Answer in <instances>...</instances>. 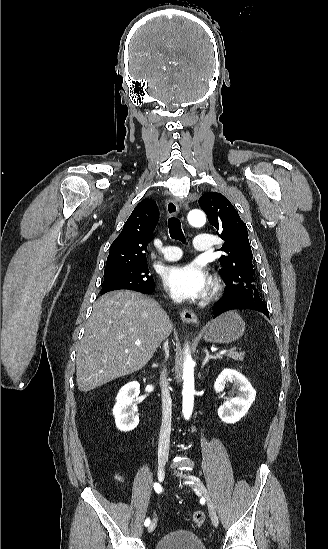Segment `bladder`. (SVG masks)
I'll return each instance as SVG.
<instances>
[{
	"instance_id": "1",
	"label": "bladder",
	"mask_w": 328,
	"mask_h": 549,
	"mask_svg": "<svg viewBox=\"0 0 328 549\" xmlns=\"http://www.w3.org/2000/svg\"><path fill=\"white\" fill-rule=\"evenodd\" d=\"M154 549H206L196 534L181 530L171 531L161 538Z\"/></svg>"
}]
</instances>
